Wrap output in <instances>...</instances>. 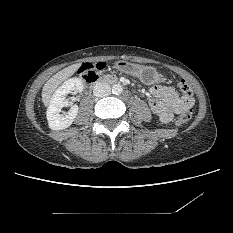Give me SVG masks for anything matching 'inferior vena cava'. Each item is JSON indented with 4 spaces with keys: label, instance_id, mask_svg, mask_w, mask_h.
<instances>
[{
    "label": "inferior vena cava",
    "instance_id": "1",
    "mask_svg": "<svg viewBox=\"0 0 233 233\" xmlns=\"http://www.w3.org/2000/svg\"><path fill=\"white\" fill-rule=\"evenodd\" d=\"M111 93L110 86L105 82H99L94 86L93 94L96 97H105Z\"/></svg>",
    "mask_w": 233,
    "mask_h": 233
}]
</instances>
